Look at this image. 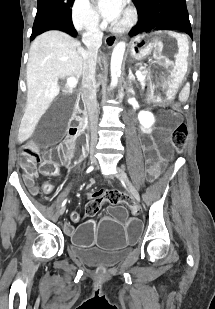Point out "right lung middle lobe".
I'll list each match as a JSON object with an SVG mask.
<instances>
[{
	"instance_id": "right-lung-middle-lobe-1",
	"label": "right lung middle lobe",
	"mask_w": 215,
	"mask_h": 309,
	"mask_svg": "<svg viewBox=\"0 0 215 309\" xmlns=\"http://www.w3.org/2000/svg\"><path fill=\"white\" fill-rule=\"evenodd\" d=\"M73 2L74 0H38L31 40L40 33L51 29H59L76 35L77 32L71 18Z\"/></svg>"
}]
</instances>
